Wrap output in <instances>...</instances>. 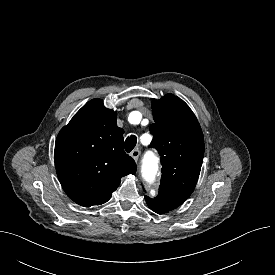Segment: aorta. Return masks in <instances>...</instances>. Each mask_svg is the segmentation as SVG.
<instances>
[{"label": "aorta", "mask_w": 275, "mask_h": 275, "mask_svg": "<svg viewBox=\"0 0 275 275\" xmlns=\"http://www.w3.org/2000/svg\"><path fill=\"white\" fill-rule=\"evenodd\" d=\"M146 169H147V171L150 172V174L147 175V179L151 181L152 178H153V174L157 169L156 161L154 159L153 160L152 159L147 160Z\"/></svg>", "instance_id": "obj_1"}]
</instances>
